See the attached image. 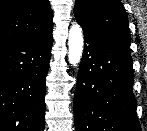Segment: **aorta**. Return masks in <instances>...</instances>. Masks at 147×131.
I'll use <instances>...</instances> for the list:
<instances>
[{
	"instance_id": "1",
	"label": "aorta",
	"mask_w": 147,
	"mask_h": 131,
	"mask_svg": "<svg viewBox=\"0 0 147 131\" xmlns=\"http://www.w3.org/2000/svg\"><path fill=\"white\" fill-rule=\"evenodd\" d=\"M83 33L78 24L71 26L68 36V61L71 65H77L83 52Z\"/></svg>"
}]
</instances>
